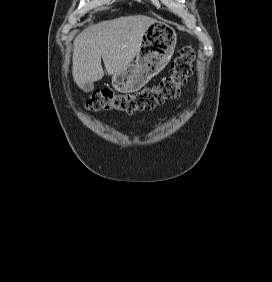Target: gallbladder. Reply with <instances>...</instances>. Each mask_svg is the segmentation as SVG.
Listing matches in <instances>:
<instances>
[{"label":"gallbladder","instance_id":"gallbladder-1","mask_svg":"<svg viewBox=\"0 0 272 282\" xmlns=\"http://www.w3.org/2000/svg\"><path fill=\"white\" fill-rule=\"evenodd\" d=\"M93 88H94L93 84L87 83L84 85L83 90L84 92H90L93 90Z\"/></svg>","mask_w":272,"mask_h":282}]
</instances>
